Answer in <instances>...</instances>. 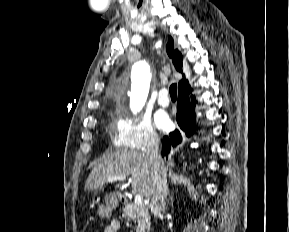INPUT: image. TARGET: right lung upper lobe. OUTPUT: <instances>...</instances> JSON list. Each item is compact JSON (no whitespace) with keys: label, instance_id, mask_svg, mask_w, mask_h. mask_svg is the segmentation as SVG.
Returning a JSON list of instances; mask_svg holds the SVG:
<instances>
[{"label":"right lung upper lobe","instance_id":"1","mask_svg":"<svg viewBox=\"0 0 289 232\" xmlns=\"http://www.w3.org/2000/svg\"><path fill=\"white\" fill-rule=\"evenodd\" d=\"M167 53L169 57H172L173 64L179 72H182V55L178 50L173 52V41L172 38H169V43L167 44ZM190 90V86L188 84V80L185 79V75L183 74V79L179 81L178 84V92L188 91Z\"/></svg>","mask_w":289,"mask_h":232}]
</instances>
